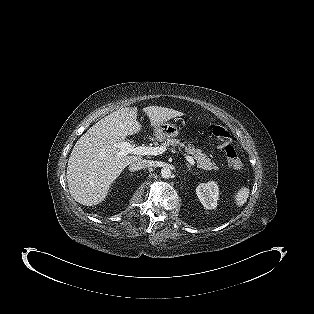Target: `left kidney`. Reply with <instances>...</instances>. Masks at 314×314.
<instances>
[{"instance_id":"obj_1","label":"left kidney","mask_w":314,"mask_h":314,"mask_svg":"<svg viewBox=\"0 0 314 314\" xmlns=\"http://www.w3.org/2000/svg\"><path fill=\"white\" fill-rule=\"evenodd\" d=\"M196 194L206 209H215L217 207L219 188L216 182L209 181L199 184L196 188Z\"/></svg>"}]
</instances>
